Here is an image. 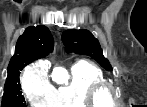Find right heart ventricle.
<instances>
[{
    "label": "right heart ventricle",
    "mask_w": 147,
    "mask_h": 107,
    "mask_svg": "<svg viewBox=\"0 0 147 107\" xmlns=\"http://www.w3.org/2000/svg\"><path fill=\"white\" fill-rule=\"evenodd\" d=\"M104 81V74L99 67L80 60L72 66L68 83L54 90L48 105L51 107H90L87 103L89 89Z\"/></svg>",
    "instance_id": "e07e8e85"
}]
</instances>
